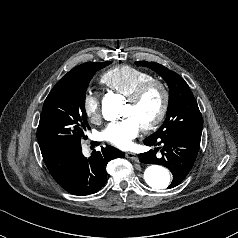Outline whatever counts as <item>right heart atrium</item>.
<instances>
[{"label": "right heart atrium", "mask_w": 238, "mask_h": 238, "mask_svg": "<svg viewBox=\"0 0 238 238\" xmlns=\"http://www.w3.org/2000/svg\"><path fill=\"white\" fill-rule=\"evenodd\" d=\"M83 109L87 117L94 123L100 120L101 101L100 96L93 90H88L83 97Z\"/></svg>", "instance_id": "1"}]
</instances>
